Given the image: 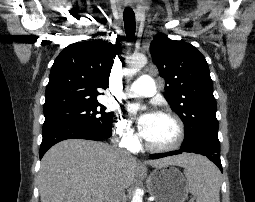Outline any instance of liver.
Instances as JSON below:
<instances>
[{
    "instance_id": "obj_1",
    "label": "liver",
    "mask_w": 255,
    "mask_h": 202,
    "mask_svg": "<svg viewBox=\"0 0 255 202\" xmlns=\"http://www.w3.org/2000/svg\"><path fill=\"white\" fill-rule=\"evenodd\" d=\"M196 155L181 154L147 161L152 167H187ZM136 161L103 142L68 139L50 148L41 161V202H103L110 187L127 189Z\"/></svg>"
}]
</instances>
